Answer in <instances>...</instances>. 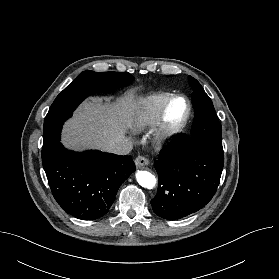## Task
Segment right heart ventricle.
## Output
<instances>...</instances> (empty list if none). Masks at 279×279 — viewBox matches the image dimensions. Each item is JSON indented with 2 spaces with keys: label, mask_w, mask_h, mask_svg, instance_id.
<instances>
[{
  "label": "right heart ventricle",
  "mask_w": 279,
  "mask_h": 279,
  "mask_svg": "<svg viewBox=\"0 0 279 279\" xmlns=\"http://www.w3.org/2000/svg\"><path fill=\"white\" fill-rule=\"evenodd\" d=\"M172 95L170 92H157L141 99L133 120L134 129L142 131L153 127L158 120L162 106Z\"/></svg>",
  "instance_id": "1"
}]
</instances>
